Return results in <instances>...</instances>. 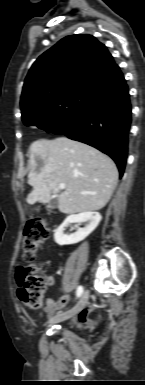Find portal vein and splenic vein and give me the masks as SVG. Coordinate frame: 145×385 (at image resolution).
<instances>
[{
    "label": "portal vein and splenic vein",
    "instance_id": "portal-vein-and-splenic-vein-1",
    "mask_svg": "<svg viewBox=\"0 0 145 385\" xmlns=\"http://www.w3.org/2000/svg\"><path fill=\"white\" fill-rule=\"evenodd\" d=\"M58 187H59L60 189H65V184H64V183H60V184L58 185Z\"/></svg>",
    "mask_w": 145,
    "mask_h": 385
}]
</instances>
